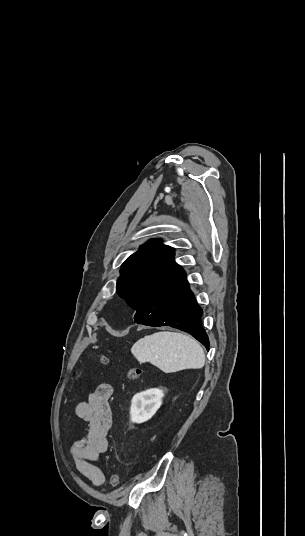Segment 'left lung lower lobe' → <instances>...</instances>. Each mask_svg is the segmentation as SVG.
<instances>
[{"label": "left lung lower lobe", "mask_w": 305, "mask_h": 536, "mask_svg": "<svg viewBox=\"0 0 305 536\" xmlns=\"http://www.w3.org/2000/svg\"><path fill=\"white\" fill-rule=\"evenodd\" d=\"M202 314L184 272L146 300L134 320L137 324L171 326L188 332L209 350V339L201 324Z\"/></svg>", "instance_id": "left-lung-lower-lobe-1"}]
</instances>
